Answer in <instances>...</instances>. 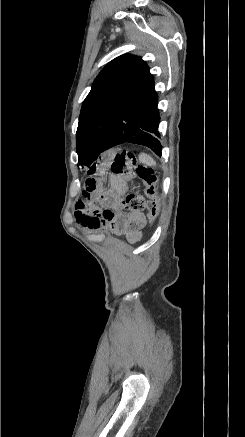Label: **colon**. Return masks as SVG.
Wrapping results in <instances>:
<instances>
[{"label": "colon", "instance_id": "obj_1", "mask_svg": "<svg viewBox=\"0 0 245 437\" xmlns=\"http://www.w3.org/2000/svg\"><path fill=\"white\" fill-rule=\"evenodd\" d=\"M111 171L121 175L126 181L131 182L134 178H139L145 187V196L128 193L121 201V211L124 213L140 212L147 208L148 219L154 223L160 214V198L156 183L157 175L150 166L138 162L135 155L128 151H121L115 156Z\"/></svg>", "mask_w": 245, "mask_h": 437}]
</instances>
